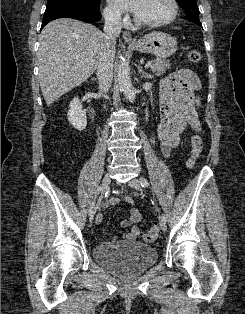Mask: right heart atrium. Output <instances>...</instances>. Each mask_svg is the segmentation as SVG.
Wrapping results in <instances>:
<instances>
[{
	"instance_id": "obj_1",
	"label": "right heart atrium",
	"mask_w": 245,
	"mask_h": 314,
	"mask_svg": "<svg viewBox=\"0 0 245 314\" xmlns=\"http://www.w3.org/2000/svg\"><path fill=\"white\" fill-rule=\"evenodd\" d=\"M104 16L109 22L115 24L120 21L121 14L117 9L107 6L104 9Z\"/></svg>"
}]
</instances>
